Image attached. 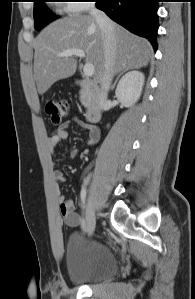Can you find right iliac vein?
Returning a JSON list of instances; mask_svg holds the SVG:
<instances>
[{
  "instance_id": "1",
  "label": "right iliac vein",
  "mask_w": 195,
  "mask_h": 299,
  "mask_svg": "<svg viewBox=\"0 0 195 299\" xmlns=\"http://www.w3.org/2000/svg\"><path fill=\"white\" fill-rule=\"evenodd\" d=\"M96 219L95 212L93 209L92 197L89 196L87 205H86V231L89 235H92L95 229Z\"/></svg>"
}]
</instances>
